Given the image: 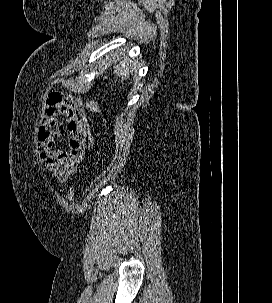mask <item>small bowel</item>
<instances>
[{
  "label": "small bowel",
  "instance_id": "obj_1",
  "mask_svg": "<svg viewBox=\"0 0 272 303\" xmlns=\"http://www.w3.org/2000/svg\"><path fill=\"white\" fill-rule=\"evenodd\" d=\"M65 117V123L60 120ZM68 134L67 146L57 147V139ZM38 156L60 183L66 182L83 161L86 149L94 144L87 111L82 100L62 92L51 93L46 100L41 124L37 130Z\"/></svg>",
  "mask_w": 272,
  "mask_h": 303
}]
</instances>
